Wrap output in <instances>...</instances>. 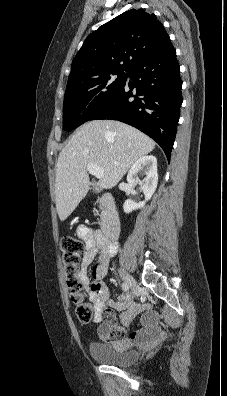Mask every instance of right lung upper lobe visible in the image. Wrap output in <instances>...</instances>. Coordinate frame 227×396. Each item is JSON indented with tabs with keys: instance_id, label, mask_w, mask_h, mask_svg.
Wrapping results in <instances>:
<instances>
[{
	"instance_id": "cb5924a9",
	"label": "right lung upper lobe",
	"mask_w": 227,
	"mask_h": 396,
	"mask_svg": "<svg viewBox=\"0 0 227 396\" xmlns=\"http://www.w3.org/2000/svg\"><path fill=\"white\" fill-rule=\"evenodd\" d=\"M169 42L154 14L142 9L128 10L86 38L72 62L67 87L107 72L129 71L143 57Z\"/></svg>"
}]
</instances>
